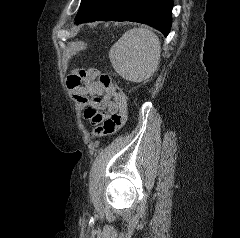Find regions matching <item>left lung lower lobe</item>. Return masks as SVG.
<instances>
[{"label":"left lung lower lobe","instance_id":"obj_1","mask_svg":"<svg viewBox=\"0 0 240 238\" xmlns=\"http://www.w3.org/2000/svg\"><path fill=\"white\" fill-rule=\"evenodd\" d=\"M172 8V0H91L75 23L110 20L140 22L167 36L172 24Z\"/></svg>","mask_w":240,"mask_h":238}]
</instances>
